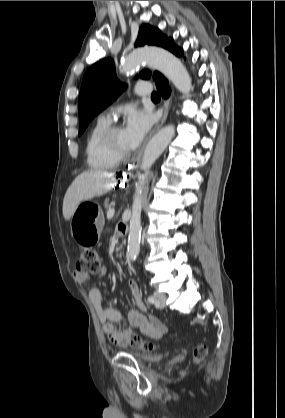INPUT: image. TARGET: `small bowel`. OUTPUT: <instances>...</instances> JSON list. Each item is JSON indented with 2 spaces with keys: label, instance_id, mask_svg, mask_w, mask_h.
Returning <instances> with one entry per match:
<instances>
[{
  "label": "small bowel",
  "instance_id": "small-bowel-1",
  "mask_svg": "<svg viewBox=\"0 0 285 418\" xmlns=\"http://www.w3.org/2000/svg\"><path fill=\"white\" fill-rule=\"evenodd\" d=\"M106 272L107 269L100 260L98 275L104 276ZM74 278L78 283H83L87 280V276L82 273H75ZM127 286L139 310L131 309L128 311L127 319L130 328L124 329L116 328L115 324L121 320V313L113 307L103 306V295L100 289L94 287L89 291L90 301L101 322L104 333L116 345H126L128 343V334L132 328H138L149 337L160 338L166 332V326L160 320L146 313L138 283L134 279H130Z\"/></svg>",
  "mask_w": 285,
  "mask_h": 418
}]
</instances>
